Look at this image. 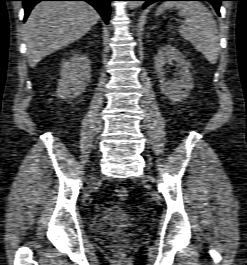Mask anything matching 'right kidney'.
I'll use <instances>...</instances> for the list:
<instances>
[{
    "label": "right kidney",
    "instance_id": "1",
    "mask_svg": "<svg viewBox=\"0 0 247 265\" xmlns=\"http://www.w3.org/2000/svg\"><path fill=\"white\" fill-rule=\"evenodd\" d=\"M57 95L63 99L82 94L91 77L90 61L86 55H73L61 64Z\"/></svg>",
    "mask_w": 247,
    "mask_h": 265
}]
</instances>
